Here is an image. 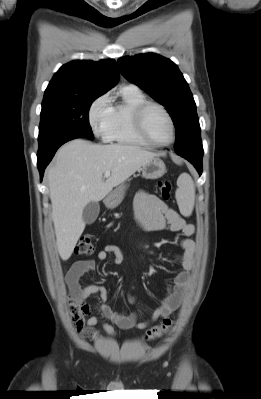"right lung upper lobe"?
I'll list each match as a JSON object with an SVG mask.
<instances>
[{
    "label": "right lung upper lobe",
    "mask_w": 261,
    "mask_h": 399,
    "mask_svg": "<svg viewBox=\"0 0 261 399\" xmlns=\"http://www.w3.org/2000/svg\"><path fill=\"white\" fill-rule=\"evenodd\" d=\"M119 80L114 60H76L63 65L45 90L44 97L101 96Z\"/></svg>",
    "instance_id": "right-lung-upper-lobe-1"
}]
</instances>
